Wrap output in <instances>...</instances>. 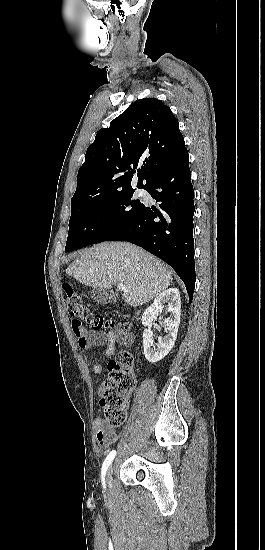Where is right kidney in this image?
Wrapping results in <instances>:
<instances>
[{
	"label": "right kidney",
	"mask_w": 265,
	"mask_h": 550,
	"mask_svg": "<svg viewBox=\"0 0 265 550\" xmlns=\"http://www.w3.org/2000/svg\"><path fill=\"white\" fill-rule=\"evenodd\" d=\"M163 304H167L170 317L160 322L163 325L167 335L159 337L157 343H154L151 323L163 309ZM181 315V299L177 288H170L156 296L153 303L148 307L142 316V324L146 327L143 332L144 355L150 363H157L162 360L173 348Z\"/></svg>",
	"instance_id": "right-kidney-1"
}]
</instances>
